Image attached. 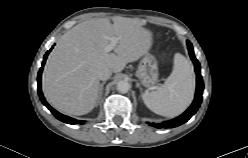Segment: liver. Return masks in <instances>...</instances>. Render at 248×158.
Returning <instances> with one entry per match:
<instances>
[{
	"label": "liver",
	"instance_id": "6515ba94",
	"mask_svg": "<svg viewBox=\"0 0 248 158\" xmlns=\"http://www.w3.org/2000/svg\"><path fill=\"white\" fill-rule=\"evenodd\" d=\"M138 18L116 16L91 19L63 34L52 50L42 76L47 101L68 115H84L96 105L99 73L109 68L121 72L127 63L148 53L152 34ZM119 41L114 52H105L111 37Z\"/></svg>",
	"mask_w": 248,
	"mask_h": 158
}]
</instances>
